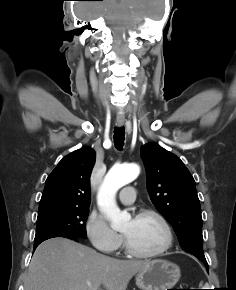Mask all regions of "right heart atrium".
Segmentation results:
<instances>
[{
  "mask_svg": "<svg viewBox=\"0 0 236 290\" xmlns=\"http://www.w3.org/2000/svg\"><path fill=\"white\" fill-rule=\"evenodd\" d=\"M85 232L93 247L103 253H114L123 242L121 235L116 233L105 218L96 212L88 215Z\"/></svg>",
  "mask_w": 236,
  "mask_h": 290,
  "instance_id": "d8ad5b80",
  "label": "right heart atrium"
}]
</instances>
